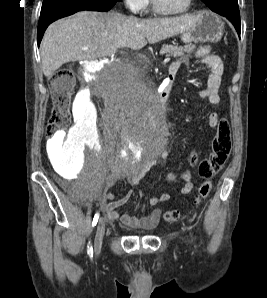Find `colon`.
Wrapping results in <instances>:
<instances>
[{
    "instance_id": "colon-1",
    "label": "colon",
    "mask_w": 267,
    "mask_h": 298,
    "mask_svg": "<svg viewBox=\"0 0 267 298\" xmlns=\"http://www.w3.org/2000/svg\"><path fill=\"white\" fill-rule=\"evenodd\" d=\"M51 93L53 97V108L48 120L47 133L49 138L54 139L57 134L65 130L70 122L71 97L75 88V78L71 70L60 69L56 71L50 80ZM232 146V136L229 124L221 119L217 127V133L211 144V152L207 158L199 159L193 152L190 155V162L197 166L204 181L199 186L194 206H199L211 192L212 178L224 167ZM168 222L180 220L182 214L178 210H168L163 215Z\"/></svg>"
}]
</instances>
